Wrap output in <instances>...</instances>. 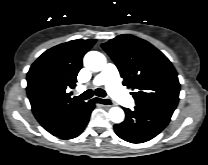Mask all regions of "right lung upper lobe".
Here are the masks:
<instances>
[{
	"instance_id": "obj_1",
	"label": "right lung upper lobe",
	"mask_w": 208,
	"mask_h": 165,
	"mask_svg": "<svg viewBox=\"0 0 208 165\" xmlns=\"http://www.w3.org/2000/svg\"><path fill=\"white\" fill-rule=\"evenodd\" d=\"M96 40H72L45 51L27 73V94L34 116L50 130L78 112L85 102L66 93L74 88L85 53Z\"/></svg>"
}]
</instances>
